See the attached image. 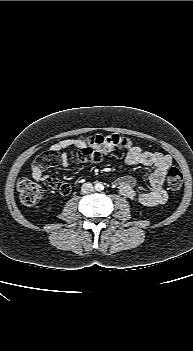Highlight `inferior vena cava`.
Segmentation results:
<instances>
[{
    "label": "inferior vena cava",
    "mask_w": 193,
    "mask_h": 351,
    "mask_svg": "<svg viewBox=\"0 0 193 351\" xmlns=\"http://www.w3.org/2000/svg\"><path fill=\"white\" fill-rule=\"evenodd\" d=\"M93 190H94V187H93L92 183H89V182L84 183L81 187V191L84 194L91 193Z\"/></svg>",
    "instance_id": "inferior-vena-cava-1"
}]
</instances>
